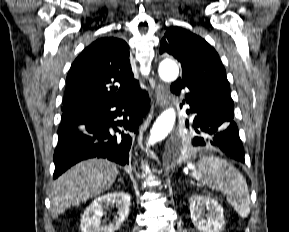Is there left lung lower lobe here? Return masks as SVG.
Returning <instances> with one entry per match:
<instances>
[{
  "label": "left lung lower lobe",
  "instance_id": "obj_1",
  "mask_svg": "<svg viewBox=\"0 0 289 232\" xmlns=\"http://www.w3.org/2000/svg\"><path fill=\"white\" fill-rule=\"evenodd\" d=\"M186 86L173 83L171 91L178 94ZM185 100L190 105L187 113H195L192 127L195 134H189L188 152L215 153L244 162V150L234 122L233 104L204 91L191 90Z\"/></svg>",
  "mask_w": 289,
  "mask_h": 232
}]
</instances>
